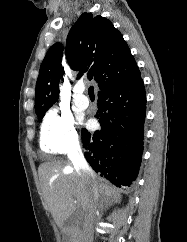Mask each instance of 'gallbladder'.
<instances>
[{"label":"gallbladder","instance_id":"1","mask_svg":"<svg viewBox=\"0 0 187 242\" xmlns=\"http://www.w3.org/2000/svg\"><path fill=\"white\" fill-rule=\"evenodd\" d=\"M76 216L75 215H72L71 217H69L66 222H65V225L66 226H70L74 223V220H75ZM64 242H68V239L66 237H64Z\"/></svg>","mask_w":187,"mask_h":242}]
</instances>
